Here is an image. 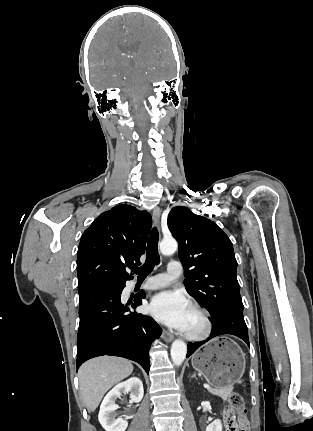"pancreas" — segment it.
Instances as JSON below:
<instances>
[{"instance_id":"1","label":"pancreas","mask_w":313,"mask_h":431,"mask_svg":"<svg viewBox=\"0 0 313 431\" xmlns=\"http://www.w3.org/2000/svg\"><path fill=\"white\" fill-rule=\"evenodd\" d=\"M208 391L213 395L221 397L223 400H227L231 395L233 388L229 387V388L220 389V390L215 388H209Z\"/></svg>"}]
</instances>
